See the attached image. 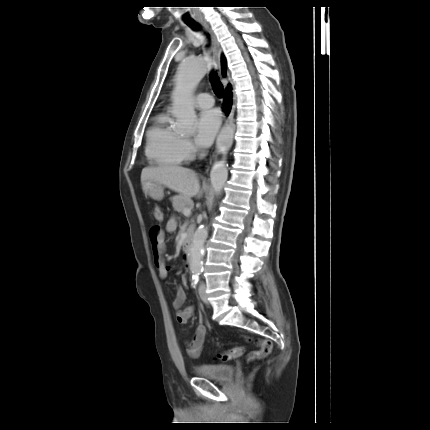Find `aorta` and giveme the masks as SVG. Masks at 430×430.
<instances>
[{
  "label": "aorta",
  "mask_w": 430,
  "mask_h": 430,
  "mask_svg": "<svg viewBox=\"0 0 430 430\" xmlns=\"http://www.w3.org/2000/svg\"><path fill=\"white\" fill-rule=\"evenodd\" d=\"M209 69L210 61L206 58H185L179 65L171 98L172 114L176 118L175 129L180 133L190 134L193 132L197 116L192 95ZM234 133V125L227 123L217 137L216 148L221 158L214 162L210 172L211 186L216 195L221 194L228 177L225 156L232 146ZM207 237L208 227L199 226L194 233L189 249V264L193 273H199L203 269Z\"/></svg>",
  "instance_id": "aorta-1"
}]
</instances>
